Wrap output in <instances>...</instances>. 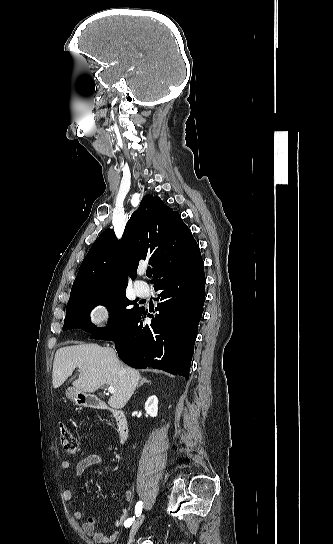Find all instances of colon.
<instances>
[{
    "label": "colon",
    "mask_w": 333,
    "mask_h": 544,
    "mask_svg": "<svg viewBox=\"0 0 333 544\" xmlns=\"http://www.w3.org/2000/svg\"><path fill=\"white\" fill-rule=\"evenodd\" d=\"M60 443L63 449L71 454H76L81 451V445L69 429L62 423L59 425Z\"/></svg>",
    "instance_id": "5ec220e1"
}]
</instances>
